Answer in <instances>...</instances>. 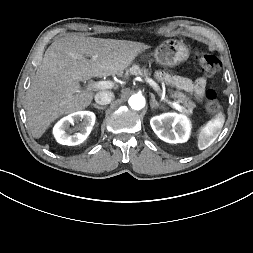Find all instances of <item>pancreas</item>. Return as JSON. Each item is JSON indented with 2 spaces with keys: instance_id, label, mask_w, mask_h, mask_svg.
<instances>
[{
  "instance_id": "1",
  "label": "pancreas",
  "mask_w": 253,
  "mask_h": 253,
  "mask_svg": "<svg viewBox=\"0 0 253 253\" xmlns=\"http://www.w3.org/2000/svg\"><path fill=\"white\" fill-rule=\"evenodd\" d=\"M126 75H135V76H148L150 75L148 69H146L145 67H140L139 65H132V67H130L127 72ZM164 76L167 78H170V75H168L167 73H164ZM162 81H164L167 85L169 84L168 79H162ZM171 98H173L174 100H176V102L178 103H182L184 105V110L183 112L187 115L192 114L193 109L195 107L194 102H192L184 93L180 92V91H174L171 92Z\"/></svg>"
}]
</instances>
